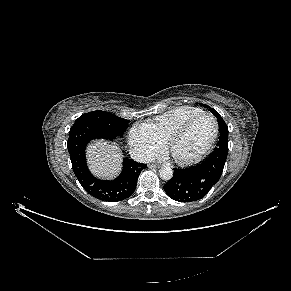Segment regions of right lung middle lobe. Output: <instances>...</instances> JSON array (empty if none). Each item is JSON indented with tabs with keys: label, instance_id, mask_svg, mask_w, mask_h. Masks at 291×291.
I'll return each mask as SVG.
<instances>
[{
	"label": "right lung middle lobe",
	"instance_id": "dd1d6c3e",
	"mask_svg": "<svg viewBox=\"0 0 291 291\" xmlns=\"http://www.w3.org/2000/svg\"><path fill=\"white\" fill-rule=\"evenodd\" d=\"M129 121L105 111H92L81 115L73 126L90 124L114 137H121L128 127Z\"/></svg>",
	"mask_w": 291,
	"mask_h": 291
}]
</instances>
